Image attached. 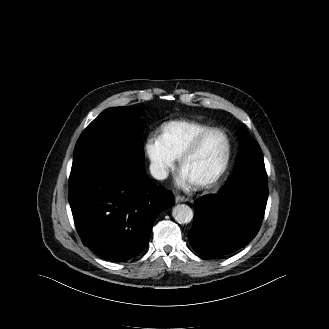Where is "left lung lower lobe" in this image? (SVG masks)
I'll return each mask as SVG.
<instances>
[{"label": "left lung lower lobe", "instance_id": "0a47b994", "mask_svg": "<svg viewBox=\"0 0 329 329\" xmlns=\"http://www.w3.org/2000/svg\"><path fill=\"white\" fill-rule=\"evenodd\" d=\"M215 195L202 196L194 204L195 216L188 239L205 257L217 258L247 245L258 233L268 197L265 167L241 169Z\"/></svg>", "mask_w": 329, "mask_h": 329}]
</instances>
